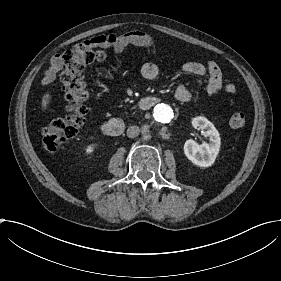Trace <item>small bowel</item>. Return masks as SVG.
Returning a JSON list of instances; mask_svg holds the SVG:
<instances>
[{"label": "small bowel", "mask_w": 281, "mask_h": 281, "mask_svg": "<svg viewBox=\"0 0 281 281\" xmlns=\"http://www.w3.org/2000/svg\"><path fill=\"white\" fill-rule=\"evenodd\" d=\"M154 43L152 37L140 31H128L120 34H109L102 38L100 46L112 47L116 52H122L128 45L151 46ZM64 63L60 55L51 59L50 67L44 75V83H51L57 74L63 69ZM182 70L197 77V85L203 88L206 94L214 97L220 93H234L232 84L223 81L222 74L217 64L212 60H207L205 64L197 62H186L182 65ZM142 74L147 80L155 81L159 78L158 67L147 62L142 66ZM175 98L181 103L194 102L197 96L183 84L177 86Z\"/></svg>", "instance_id": "1"}]
</instances>
